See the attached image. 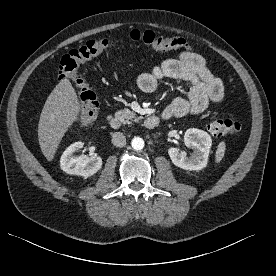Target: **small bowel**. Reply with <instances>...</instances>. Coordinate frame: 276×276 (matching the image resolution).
Wrapping results in <instances>:
<instances>
[{
	"instance_id": "small-bowel-1",
	"label": "small bowel",
	"mask_w": 276,
	"mask_h": 276,
	"mask_svg": "<svg viewBox=\"0 0 276 276\" xmlns=\"http://www.w3.org/2000/svg\"><path fill=\"white\" fill-rule=\"evenodd\" d=\"M163 78L181 80L188 88L186 98L174 99L163 110L166 118L199 114L209 104L219 103L224 97L222 81L211 73L205 59L198 53L184 51L176 58L162 61L152 71L140 74L137 84L140 90L150 93Z\"/></svg>"
}]
</instances>
